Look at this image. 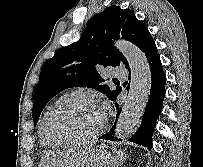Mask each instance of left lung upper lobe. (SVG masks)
<instances>
[{
	"label": "left lung upper lobe",
	"instance_id": "left-lung-upper-lobe-1",
	"mask_svg": "<svg viewBox=\"0 0 203 167\" xmlns=\"http://www.w3.org/2000/svg\"><path fill=\"white\" fill-rule=\"evenodd\" d=\"M119 38L134 43L141 50L152 40L145 24L136 19L132 10L109 6L90 19L77 42L61 48L44 63L34 91V125L49 100L69 87L94 88L116 100L121 87L111 91L98 70L101 66L120 64L129 68L127 59L113 46L114 40Z\"/></svg>",
	"mask_w": 203,
	"mask_h": 167
}]
</instances>
